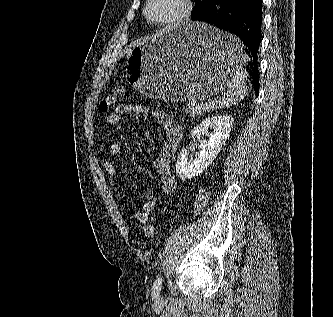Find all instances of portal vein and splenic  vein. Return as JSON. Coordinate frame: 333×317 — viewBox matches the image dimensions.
I'll return each mask as SVG.
<instances>
[{"label": "portal vein and splenic vein", "mask_w": 333, "mask_h": 317, "mask_svg": "<svg viewBox=\"0 0 333 317\" xmlns=\"http://www.w3.org/2000/svg\"><path fill=\"white\" fill-rule=\"evenodd\" d=\"M192 105H196V103L195 102H193V103H191Z\"/></svg>", "instance_id": "1"}]
</instances>
